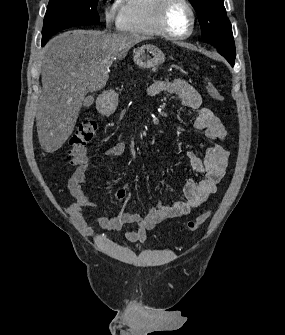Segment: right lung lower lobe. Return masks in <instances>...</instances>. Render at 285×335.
<instances>
[{"label": "right lung lower lobe", "instance_id": "98d812e1", "mask_svg": "<svg viewBox=\"0 0 285 335\" xmlns=\"http://www.w3.org/2000/svg\"><path fill=\"white\" fill-rule=\"evenodd\" d=\"M46 43V42H45ZM44 42H42V46L45 44Z\"/></svg>", "mask_w": 285, "mask_h": 335}]
</instances>
